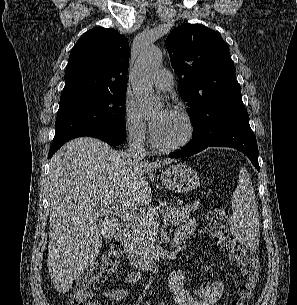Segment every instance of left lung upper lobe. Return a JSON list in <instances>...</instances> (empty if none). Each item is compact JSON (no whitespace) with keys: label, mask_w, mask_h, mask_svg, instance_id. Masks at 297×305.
<instances>
[{"label":"left lung upper lobe","mask_w":297,"mask_h":305,"mask_svg":"<svg viewBox=\"0 0 297 305\" xmlns=\"http://www.w3.org/2000/svg\"><path fill=\"white\" fill-rule=\"evenodd\" d=\"M171 65L179 78V93L187 102L193 138L208 126L243 108L235 66L223 39L202 24H184L166 39Z\"/></svg>","instance_id":"obj_1"}]
</instances>
